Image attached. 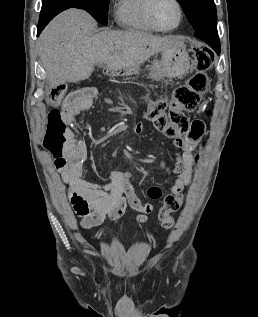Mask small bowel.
<instances>
[{"instance_id":"c3829d8e","label":"small bowel","mask_w":258,"mask_h":317,"mask_svg":"<svg viewBox=\"0 0 258 317\" xmlns=\"http://www.w3.org/2000/svg\"><path fill=\"white\" fill-rule=\"evenodd\" d=\"M95 90L85 88L70 93L64 100L61 109L71 121L92 106ZM137 133L143 130V124L138 123ZM206 134V126L202 120H194L189 132L173 142L175 162L169 167L162 164L167 174L176 178L169 183L172 194H179L192 182L193 171L201 158V143ZM55 165L61 172V178L67 186L69 201L75 213L80 217V225L85 228L100 226L107 220L115 221L121 218L128 207L139 212V222H146L154 206L141 202L129 180L127 173L112 171L106 183H94L84 178V163L88 157V148L84 141L72 136L69 143L59 153L52 152ZM151 199L162 195L159 186H152L147 191Z\"/></svg>"}]
</instances>
